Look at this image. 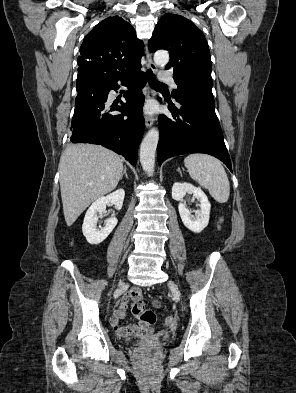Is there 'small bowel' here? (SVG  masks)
Wrapping results in <instances>:
<instances>
[{"label":"small bowel","instance_id":"small-bowel-1","mask_svg":"<svg viewBox=\"0 0 296 393\" xmlns=\"http://www.w3.org/2000/svg\"><path fill=\"white\" fill-rule=\"evenodd\" d=\"M142 299V294L139 288L133 287L121 297V300L113 312V316L110 320V324L116 334L120 337H126L129 335L145 336L152 332V328L144 322L138 324H129L127 326H120L119 321L125 317L126 313V302L128 300ZM153 304L158 305V301L154 300Z\"/></svg>","mask_w":296,"mask_h":393}]
</instances>
